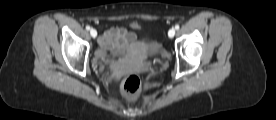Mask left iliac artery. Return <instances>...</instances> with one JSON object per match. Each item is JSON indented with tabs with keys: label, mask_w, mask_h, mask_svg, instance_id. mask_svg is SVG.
<instances>
[{
	"label": "left iliac artery",
	"mask_w": 276,
	"mask_h": 120,
	"mask_svg": "<svg viewBox=\"0 0 276 120\" xmlns=\"http://www.w3.org/2000/svg\"><path fill=\"white\" fill-rule=\"evenodd\" d=\"M180 28V26L177 24L175 25V29L178 30Z\"/></svg>",
	"instance_id": "left-iliac-artery-1"
}]
</instances>
